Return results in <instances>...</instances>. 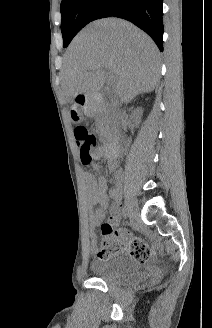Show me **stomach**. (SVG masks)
Wrapping results in <instances>:
<instances>
[{
  "label": "stomach",
  "instance_id": "stomach-1",
  "mask_svg": "<svg viewBox=\"0 0 212 328\" xmlns=\"http://www.w3.org/2000/svg\"><path fill=\"white\" fill-rule=\"evenodd\" d=\"M70 119L71 120H74L75 121V123H80V118H79V114L78 113H71L70 114Z\"/></svg>",
  "mask_w": 212,
  "mask_h": 328
}]
</instances>
